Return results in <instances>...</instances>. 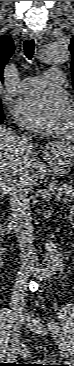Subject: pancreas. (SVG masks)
Segmentation results:
<instances>
[{"instance_id":"cf45deb5","label":"pancreas","mask_w":74,"mask_h":366,"mask_svg":"<svg viewBox=\"0 0 74 366\" xmlns=\"http://www.w3.org/2000/svg\"><path fill=\"white\" fill-rule=\"evenodd\" d=\"M57 191H62L65 193L66 200H71L73 198L72 186L68 184H63L59 188H55Z\"/></svg>"}]
</instances>
